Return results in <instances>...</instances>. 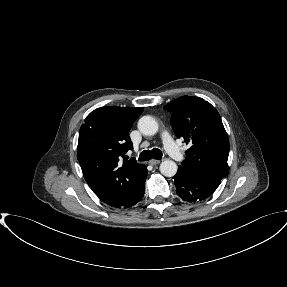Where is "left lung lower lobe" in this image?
<instances>
[{"instance_id":"left-lung-lower-lobe-1","label":"left lung lower lobe","mask_w":287,"mask_h":287,"mask_svg":"<svg viewBox=\"0 0 287 287\" xmlns=\"http://www.w3.org/2000/svg\"><path fill=\"white\" fill-rule=\"evenodd\" d=\"M173 179L178 196L188 202L205 200L221 183L218 180L192 178L180 170Z\"/></svg>"}]
</instances>
